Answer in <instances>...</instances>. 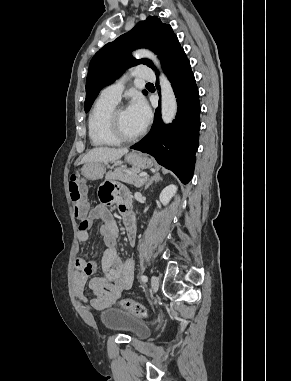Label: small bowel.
Wrapping results in <instances>:
<instances>
[{
    "mask_svg": "<svg viewBox=\"0 0 291 381\" xmlns=\"http://www.w3.org/2000/svg\"><path fill=\"white\" fill-rule=\"evenodd\" d=\"M100 196H105L106 200L96 205L86 217L82 218L77 238L81 243L88 242L90 238L89 228L92 222L94 220L102 221L99 232L106 245L100 262L103 275L90 278L97 271L96 263L78 257L75 260L76 273L73 277L75 293L84 301L86 300L84 289L88 284L89 290L95 295L90 304L96 310H103L112 306L122 292L130 289L133 284L134 264L132 260H123L118 253L116 246L118 229L109 212L108 203L113 200L117 202L130 243L134 245L136 239V226L130 211V200L127 192L121 188L104 187L100 190ZM76 252L78 253L79 250L76 249Z\"/></svg>",
    "mask_w": 291,
    "mask_h": 381,
    "instance_id": "obj_1",
    "label": "small bowel"
}]
</instances>
